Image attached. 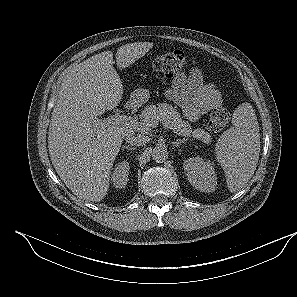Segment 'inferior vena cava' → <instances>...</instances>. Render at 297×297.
I'll return each mask as SVG.
<instances>
[{"label":"inferior vena cava","instance_id":"602c4592","mask_svg":"<svg viewBox=\"0 0 297 297\" xmlns=\"http://www.w3.org/2000/svg\"><path fill=\"white\" fill-rule=\"evenodd\" d=\"M125 141L132 146H143L149 141V138L145 135L131 133L126 136Z\"/></svg>","mask_w":297,"mask_h":297}]
</instances>
